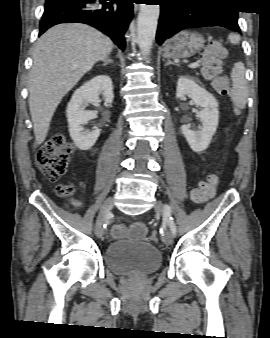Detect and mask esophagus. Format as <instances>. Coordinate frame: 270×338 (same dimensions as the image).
<instances>
[{"mask_svg":"<svg viewBox=\"0 0 270 338\" xmlns=\"http://www.w3.org/2000/svg\"><path fill=\"white\" fill-rule=\"evenodd\" d=\"M137 9H138V6H137V4L134 3V11L136 12Z\"/></svg>","mask_w":270,"mask_h":338,"instance_id":"1","label":"esophagus"}]
</instances>
